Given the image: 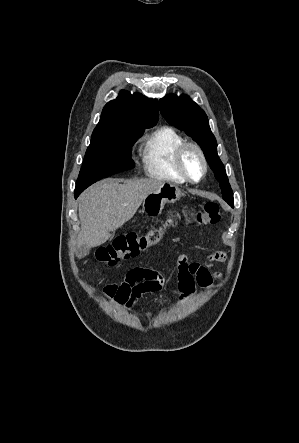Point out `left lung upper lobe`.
<instances>
[{
    "mask_svg": "<svg viewBox=\"0 0 299 443\" xmlns=\"http://www.w3.org/2000/svg\"><path fill=\"white\" fill-rule=\"evenodd\" d=\"M164 118L173 126L184 130L202 148L204 155L220 183L223 199L233 204L232 189L225 168L217 155V142L209 127L205 112L189 97L168 95L159 101Z\"/></svg>",
    "mask_w": 299,
    "mask_h": 443,
    "instance_id": "1",
    "label": "left lung upper lobe"
}]
</instances>
